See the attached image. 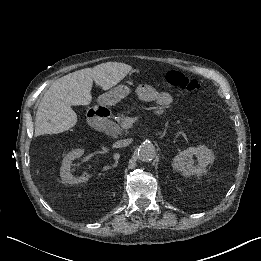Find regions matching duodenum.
Segmentation results:
<instances>
[{"label":"duodenum","mask_w":261,"mask_h":261,"mask_svg":"<svg viewBox=\"0 0 261 261\" xmlns=\"http://www.w3.org/2000/svg\"><path fill=\"white\" fill-rule=\"evenodd\" d=\"M110 116V109L105 104H98L86 113V120L93 129H100L104 126L105 121Z\"/></svg>","instance_id":"duodenum-1"}]
</instances>
